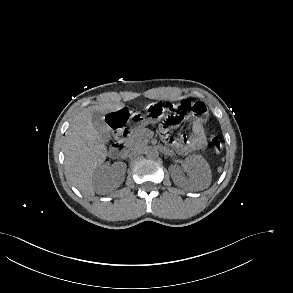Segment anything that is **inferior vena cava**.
I'll use <instances>...</instances> for the list:
<instances>
[{"instance_id": "inferior-vena-cava-1", "label": "inferior vena cava", "mask_w": 293, "mask_h": 293, "mask_svg": "<svg viewBox=\"0 0 293 293\" xmlns=\"http://www.w3.org/2000/svg\"><path fill=\"white\" fill-rule=\"evenodd\" d=\"M140 149L138 147L129 148L123 152L124 157H132L139 154Z\"/></svg>"}]
</instances>
